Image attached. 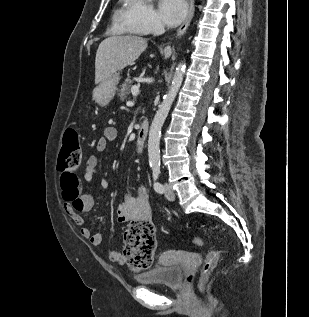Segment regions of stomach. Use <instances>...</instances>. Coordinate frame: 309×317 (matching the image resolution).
Returning a JSON list of instances; mask_svg holds the SVG:
<instances>
[{"label": "stomach", "mask_w": 309, "mask_h": 317, "mask_svg": "<svg viewBox=\"0 0 309 317\" xmlns=\"http://www.w3.org/2000/svg\"><path fill=\"white\" fill-rule=\"evenodd\" d=\"M119 80V74L116 73L103 81L94 89L93 100L101 106L109 104V102L114 98Z\"/></svg>", "instance_id": "obj_1"}]
</instances>
